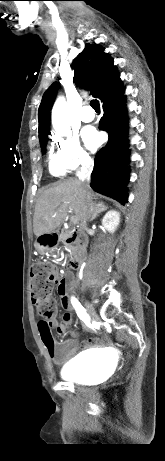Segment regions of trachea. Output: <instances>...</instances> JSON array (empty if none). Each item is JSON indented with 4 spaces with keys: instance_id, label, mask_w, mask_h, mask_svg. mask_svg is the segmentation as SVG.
<instances>
[{
    "instance_id": "trachea-1",
    "label": "trachea",
    "mask_w": 165,
    "mask_h": 461,
    "mask_svg": "<svg viewBox=\"0 0 165 461\" xmlns=\"http://www.w3.org/2000/svg\"><path fill=\"white\" fill-rule=\"evenodd\" d=\"M90 105L96 112H100V105H99V101L97 99L92 100L90 102Z\"/></svg>"
}]
</instances>
